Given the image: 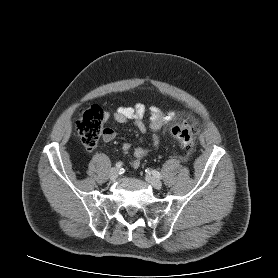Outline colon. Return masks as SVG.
Returning <instances> with one entry per match:
<instances>
[{
	"label": "colon",
	"instance_id": "obj_1",
	"mask_svg": "<svg viewBox=\"0 0 278 278\" xmlns=\"http://www.w3.org/2000/svg\"><path fill=\"white\" fill-rule=\"evenodd\" d=\"M105 115L99 106L86 109L76 122L77 131L82 143L88 149H94L104 132ZM171 134L180 142L184 151L189 154L193 151L195 138L192 127L188 123H180L171 128Z\"/></svg>",
	"mask_w": 278,
	"mask_h": 278
}]
</instances>
